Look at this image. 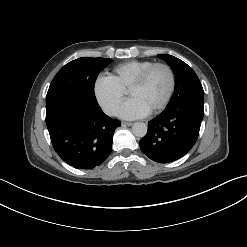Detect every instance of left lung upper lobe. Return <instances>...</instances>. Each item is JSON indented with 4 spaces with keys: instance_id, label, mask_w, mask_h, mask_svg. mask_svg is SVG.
Masks as SVG:
<instances>
[{
    "instance_id": "left-lung-upper-lobe-1",
    "label": "left lung upper lobe",
    "mask_w": 247,
    "mask_h": 247,
    "mask_svg": "<svg viewBox=\"0 0 247 247\" xmlns=\"http://www.w3.org/2000/svg\"><path fill=\"white\" fill-rule=\"evenodd\" d=\"M159 57L168 63L175 74V90L167 107L186 97L204 96L201 82L189 65L171 55L161 54Z\"/></svg>"
}]
</instances>
